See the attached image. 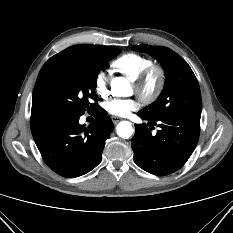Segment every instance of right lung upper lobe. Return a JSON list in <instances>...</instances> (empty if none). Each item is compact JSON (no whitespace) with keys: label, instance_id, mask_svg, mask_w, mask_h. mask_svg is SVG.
<instances>
[{"label":"right lung upper lobe","instance_id":"right-lung-upper-lobe-1","mask_svg":"<svg viewBox=\"0 0 233 233\" xmlns=\"http://www.w3.org/2000/svg\"><path fill=\"white\" fill-rule=\"evenodd\" d=\"M98 47V45H91V44H80V45H74V46H71L67 49H65L64 51L62 52H65V51H69V50H73V49H81V48H96ZM61 53V52H60ZM55 56V55H54ZM37 117L36 116H31V120L33 119H36Z\"/></svg>","mask_w":233,"mask_h":233}]
</instances>
